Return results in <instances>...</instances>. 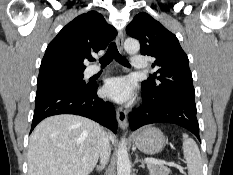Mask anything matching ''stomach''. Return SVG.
Masks as SVG:
<instances>
[{
    "label": "stomach",
    "instance_id": "1",
    "mask_svg": "<svg viewBox=\"0 0 233 175\" xmlns=\"http://www.w3.org/2000/svg\"><path fill=\"white\" fill-rule=\"evenodd\" d=\"M166 138L163 133L155 127H146L133 136V144L142 152L148 155L160 153L166 145Z\"/></svg>",
    "mask_w": 233,
    "mask_h": 175
}]
</instances>
